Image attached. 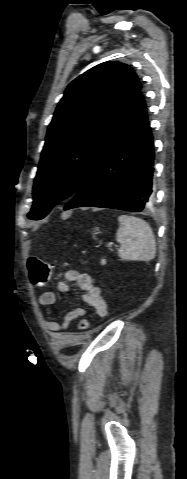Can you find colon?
Returning a JSON list of instances; mask_svg holds the SVG:
<instances>
[{"label":"colon","mask_w":187,"mask_h":479,"mask_svg":"<svg viewBox=\"0 0 187 479\" xmlns=\"http://www.w3.org/2000/svg\"><path fill=\"white\" fill-rule=\"evenodd\" d=\"M27 269L29 271V277L34 285H44L51 277L52 266L39 257H30L27 261ZM90 327L89 319H81L78 328L81 331H86Z\"/></svg>","instance_id":"1"}]
</instances>
